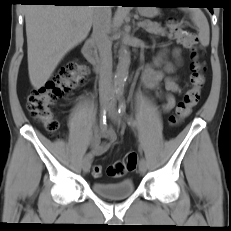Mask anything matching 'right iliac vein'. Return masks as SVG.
<instances>
[{"mask_svg": "<svg viewBox=\"0 0 231 231\" xmlns=\"http://www.w3.org/2000/svg\"><path fill=\"white\" fill-rule=\"evenodd\" d=\"M107 102H108V96L106 94L101 95L100 97V106H101V111L107 110ZM91 162L92 159L86 158L82 162V169L84 173H88L90 168H91Z\"/></svg>", "mask_w": 231, "mask_h": 231, "instance_id": "right-iliac-vein-1", "label": "right iliac vein"}]
</instances>
